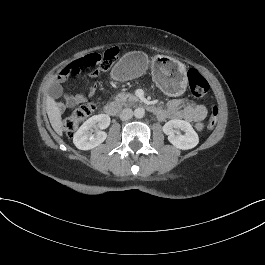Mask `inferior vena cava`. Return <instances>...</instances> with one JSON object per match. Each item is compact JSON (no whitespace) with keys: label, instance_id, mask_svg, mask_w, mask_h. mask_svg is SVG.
Here are the masks:
<instances>
[{"label":"inferior vena cava","instance_id":"obj_1","mask_svg":"<svg viewBox=\"0 0 265 265\" xmlns=\"http://www.w3.org/2000/svg\"><path fill=\"white\" fill-rule=\"evenodd\" d=\"M132 116H133V111H132V109H130V108H125V109L122 110V112H121V114H120V119H121L122 121H126V120L132 118Z\"/></svg>","mask_w":265,"mask_h":265}]
</instances>
